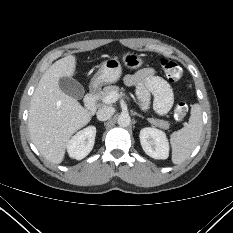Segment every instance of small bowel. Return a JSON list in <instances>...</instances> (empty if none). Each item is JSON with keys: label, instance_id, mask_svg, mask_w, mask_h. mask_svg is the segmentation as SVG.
Listing matches in <instances>:
<instances>
[{"label": "small bowel", "instance_id": "c3829d8e", "mask_svg": "<svg viewBox=\"0 0 233 233\" xmlns=\"http://www.w3.org/2000/svg\"><path fill=\"white\" fill-rule=\"evenodd\" d=\"M124 82L128 86L135 87L142 110L149 108L151 96L154 97V109L158 115H166L173 107L174 93L171 86L162 77L156 75L152 68L127 74Z\"/></svg>", "mask_w": 233, "mask_h": 233}]
</instances>
